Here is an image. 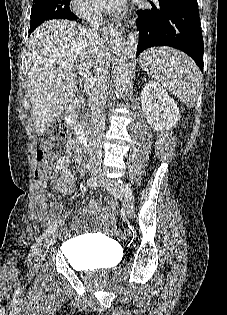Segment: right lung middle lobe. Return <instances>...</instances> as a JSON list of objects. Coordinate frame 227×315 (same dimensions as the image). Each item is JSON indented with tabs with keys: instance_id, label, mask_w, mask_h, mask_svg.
<instances>
[{
	"instance_id": "dd1d6c3e",
	"label": "right lung middle lobe",
	"mask_w": 227,
	"mask_h": 315,
	"mask_svg": "<svg viewBox=\"0 0 227 315\" xmlns=\"http://www.w3.org/2000/svg\"><path fill=\"white\" fill-rule=\"evenodd\" d=\"M70 0H33L30 33L44 21L51 19H73Z\"/></svg>"
}]
</instances>
